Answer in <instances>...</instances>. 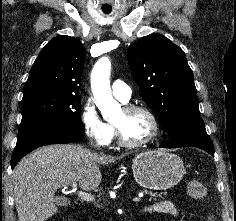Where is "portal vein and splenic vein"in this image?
Masks as SVG:
<instances>
[{
	"label": "portal vein and splenic vein",
	"instance_id": "1",
	"mask_svg": "<svg viewBox=\"0 0 236 221\" xmlns=\"http://www.w3.org/2000/svg\"><path fill=\"white\" fill-rule=\"evenodd\" d=\"M71 187L73 188L74 191H77V184L75 182L71 183ZM77 195L78 197L83 200V201H93L94 200V197L87 193V192H84V191H77ZM133 201L134 202H139L141 201V198L140 197H135L133 198Z\"/></svg>",
	"mask_w": 236,
	"mask_h": 221
}]
</instances>
